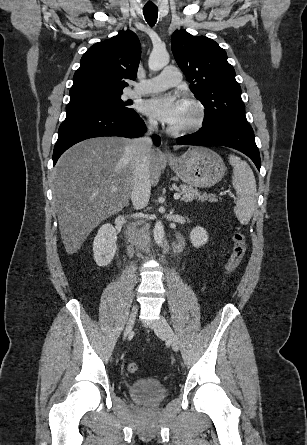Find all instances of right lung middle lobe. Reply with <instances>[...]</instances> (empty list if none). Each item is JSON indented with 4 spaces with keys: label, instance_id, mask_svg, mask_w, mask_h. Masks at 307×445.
<instances>
[{
    "label": "right lung middle lobe",
    "instance_id": "right-lung-middle-lobe-1",
    "mask_svg": "<svg viewBox=\"0 0 307 445\" xmlns=\"http://www.w3.org/2000/svg\"><path fill=\"white\" fill-rule=\"evenodd\" d=\"M129 104H132V102H124L121 99V94L85 96L70 99V102L66 107V112L69 113L77 110L100 109L123 111L128 114H135L132 108L126 107Z\"/></svg>",
    "mask_w": 307,
    "mask_h": 445
}]
</instances>
